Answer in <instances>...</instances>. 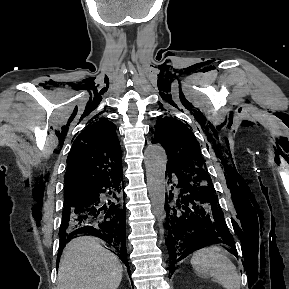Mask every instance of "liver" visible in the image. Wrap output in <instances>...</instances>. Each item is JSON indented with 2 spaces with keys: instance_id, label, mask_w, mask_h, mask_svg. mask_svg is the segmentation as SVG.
I'll list each match as a JSON object with an SVG mask.
<instances>
[{
  "instance_id": "1",
  "label": "liver",
  "mask_w": 289,
  "mask_h": 289,
  "mask_svg": "<svg viewBox=\"0 0 289 289\" xmlns=\"http://www.w3.org/2000/svg\"><path fill=\"white\" fill-rule=\"evenodd\" d=\"M123 267L112 252L92 236L72 239L64 248L56 289H117Z\"/></svg>"
}]
</instances>
